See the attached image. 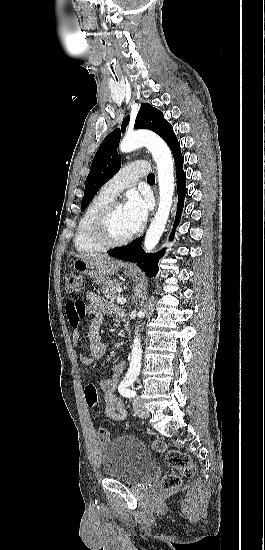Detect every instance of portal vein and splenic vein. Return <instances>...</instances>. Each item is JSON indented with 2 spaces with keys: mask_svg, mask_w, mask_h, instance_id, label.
I'll return each mask as SVG.
<instances>
[{
  "mask_svg": "<svg viewBox=\"0 0 265 550\" xmlns=\"http://www.w3.org/2000/svg\"><path fill=\"white\" fill-rule=\"evenodd\" d=\"M116 301H117V303H119V304H124V303H126V300H125L123 297H117Z\"/></svg>",
  "mask_w": 265,
  "mask_h": 550,
  "instance_id": "portal-vein-and-splenic-vein-1",
  "label": "portal vein and splenic vein"
}]
</instances>
